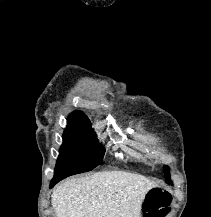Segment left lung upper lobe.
<instances>
[{"instance_id":"obj_1","label":"left lung upper lobe","mask_w":211,"mask_h":217,"mask_svg":"<svg viewBox=\"0 0 211 217\" xmlns=\"http://www.w3.org/2000/svg\"><path fill=\"white\" fill-rule=\"evenodd\" d=\"M169 168L167 166H164V172H165V182L169 185H172V181H171V178H170V175H169Z\"/></svg>"}]
</instances>
